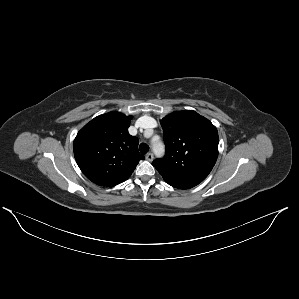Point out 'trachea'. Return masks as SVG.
Instances as JSON below:
<instances>
[{"instance_id":"obj_1","label":"trachea","mask_w":299,"mask_h":299,"mask_svg":"<svg viewBox=\"0 0 299 299\" xmlns=\"http://www.w3.org/2000/svg\"><path fill=\"white\" fill-rule=\"evenodd\" d=\"M139 150L142 154H146L149 151V146L146 143H141Z\"/></svg>"}]
</instances>
